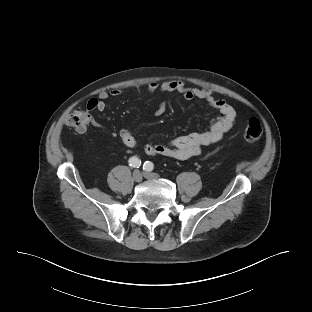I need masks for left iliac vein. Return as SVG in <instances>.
Masks as SVG:
<instances>
[{"label": "left iliac vein", "instance_id": "obj_1", "mask_svg": "<svg viewBox=\"0 0 312 312\" xmlns=\"http://www.w3.org/2000/svg\"><path fill=\"white\" fill-rule=\"evenodd\" d=\"M144 177L147 179H158L159 175L157 173L144 172Z\"/></svg>", "mask_w": 312, "mask_h": 312}]
</instances>
